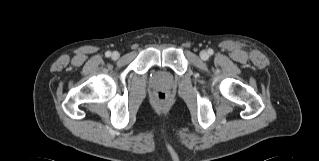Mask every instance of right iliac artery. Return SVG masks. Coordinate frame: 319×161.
<instances>
[{
	"label": "right iliac artery",
	"instance_id": "right-iliac-artery-1",
	"mask_svg": "<svg viewBox=\"0 0 319 161\" xmlns=\"http://www.w3.org/2000/svg\"><path fill=\"white\" fill-rule=\"evenodd\" d=\"M105 55H106V57H110V56H111V52H110V51H107V52L105 53Z\"/></svg>",
	"mask_w": 319,
	"mask_h": 161
}]
</instances>
